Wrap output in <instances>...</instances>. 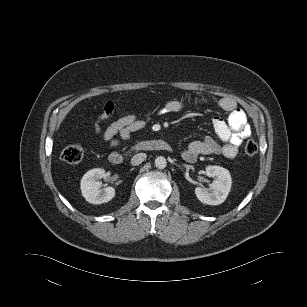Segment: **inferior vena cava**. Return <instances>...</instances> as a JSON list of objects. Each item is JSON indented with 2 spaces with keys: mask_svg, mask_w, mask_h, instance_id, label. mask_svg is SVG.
<instances>
[{
  "mask_svg": "<svg viewBox=\"0 0 307 307\" xmlns=\"http://www.w3.org/2000/svg\"><path fill=\"white\" fill-rule=\"evenodd\" d=\"M146 157L147 155L145 153H138L132 157L131 164L137 166L141 164L146 159Z\"/></svg>",
  "mask_w": 307,
  "mask_h": 307,
  "instance_id": "1",
  "label": "inferior vena cava"
}]
</instances>
